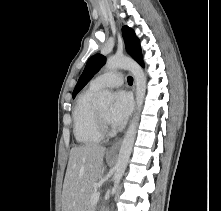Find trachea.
<instances>
[{
    "label": "trachea",
    "instance_id": "trachea-1",
    "mask_svg": "<svg viewBox=\"0 0 221 211\" xmlns=\"http://www.w3.org/2000/svg\"><path fill=\"white\" fill-rule=\"evenodd\" d=\"M127 80L130 85L133 84V78L131 76H128Z\"/></svg>",
    "mask_w": 221,
    "mask_h": 211
}]
</instances>
